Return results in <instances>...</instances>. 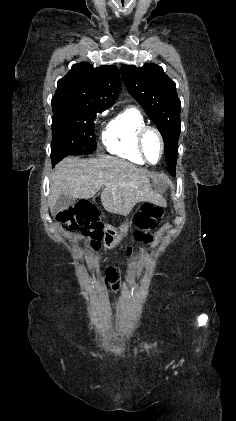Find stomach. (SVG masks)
<instances>
[{"label": "stomach", "mask_w": 236, "mask_h": 421, "mask_svg": "<svg viewBox=\"0 0 236 421\" xmlns=\"http://www.w3.org/2000/svg\"><path fill=\"white\" fill-rule=\"evenodd\" d=\"M153 188L155 192H162L161 182H155L153 184ZM129 229V223H123L119 229H114V227H109L108 231H106L104 235V245L106 249H113L116 247L120 241H122L123 237L127 235Z\"/></svg>", "instance_id": "1"}]
</instances>
